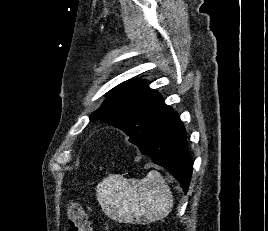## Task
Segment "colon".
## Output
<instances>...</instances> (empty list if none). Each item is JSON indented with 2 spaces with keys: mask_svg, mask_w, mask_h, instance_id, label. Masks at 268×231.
I'll list each match as a JSON object with an SVG mask.
<instances>
[{
  "mask_svg": "<svg viewBox=\"0 0 268 231\" xmlns=\"http://www.w3.org/2000/svg\"><path fill=\"white\" fill-rule=\"evenodd\" d=\"M67 216L70 228L73 231H90L91 224L82 205L72 201L67 206Z\"/></svg>",
  "mask_w": 268,
  "mask_h": 231,
  "instance_id": "colon-1",
  "label": "colon"
}]
</instances>
